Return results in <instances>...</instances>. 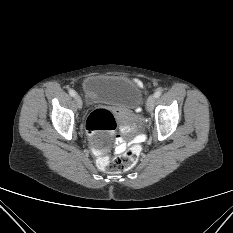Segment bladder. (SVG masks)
<instances>
[{
  "mask_svg": "<svg viewBox=\"0 0 233 233\" xmlns=\"http://www.w3.org/2000/svg\"><path fill=\"white\" fill-rule=\"evenodd\" d=\"M82 86L89 104L132 109L142 102L140 88L125 76L91 75L83 80ZM93 144L97 149L104 146L98 138H94Z\"/></svg>",
  "mask_w": 233,
  "mask_h": 233,
  "instance_id": "1",
  "label": "bladder"
}]
</instances>
